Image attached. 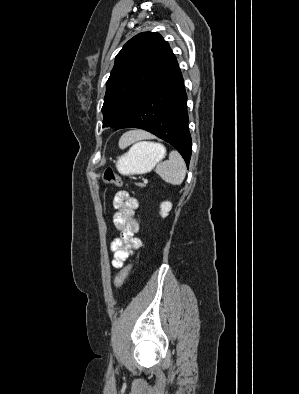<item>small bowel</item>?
<instances>
[{"mask_svg": "<svg viewBox=\"0 0 299 394\" xmlns=\"http://www.w3.org/2000/svg\"><path fill=\"white\" fill-rule=\"evenodd\" d=\"M139 206L138 200L126 191H118L113 199L115 213L113 222L120 236L114 239L110 249L114 256L112 266L122 268L131 255L142 246V241L136 237L139 230L135 213Z\"/></svg>", "mask_w": 299, "mask_h": 394, "instance_id": "1", "label": "small bowel"}]
</instances>
